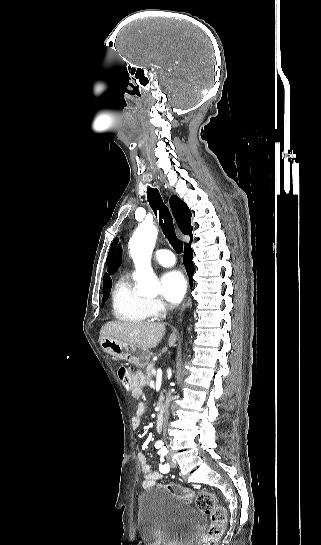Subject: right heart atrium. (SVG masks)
Here are the masks:
<instances>
[{"mask_svg":"<svg viewBox=\"0 0 321 545\" xmlns=\"http://www.w3.org/2000/svg\"><path fill=\"white\" fill-rule=\"evenodd\" d=\"M147 308L153 318L162 319L167 313V307L160 301L147 302Z\"/></svg>","mask_w":321,"mask_h":545,"instance_id":"obj_1","label":"right heart atrium"}]
</instances>
